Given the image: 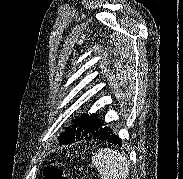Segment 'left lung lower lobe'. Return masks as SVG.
Here are the masks:
<instances>
[{"label": "left lung lower lobe", "mask_w": 183, "mask_h": 179, "mask_svg": "<svg viewBox=\"0 0 183 179\" xmlns=\"http://www.w3.org/2000/svg\"><path fill=\"white\" fill-rule=\"evenodd\" d=\"M92 138L98 139L101 141H105L108 143H112L114 145H120V143H121V139L115 134L114 130H112L110 127H104V126L101 127L100 129H98L97 131H95L94 133H92L91 135L84 137V138L79 137L77 140H74L73 142L80 141L83 139L90 140Z\"/></svg>", "instance_id": "0a47b994"}]
</instances>
